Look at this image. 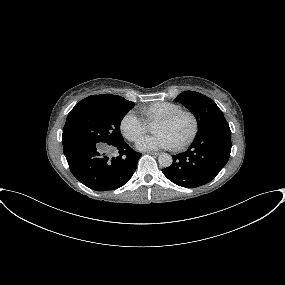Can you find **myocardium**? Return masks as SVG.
Here are the masks:
<instances>
[{
  "mask_svg": "<svg viewBox=\"0 0 285 285\" xmlns=\"http://www.w3.org/2000/svg\"><path fill=\"white\" fill-rule=\"evenodd\" d=\"M180 117H188L190 119L191 130L183 141H181L177 145H174V148L176 150L184 149L185 147L190 145L194 141V139L196 138L198 131H199V121H198L197 116L191 111L180 110V111L174 112L172 114L160 117L156 120V122L171 123Z\"/></svg>",
  "mask_w": 285,
  "mask_h": 285,
  "instance_id": "1",
  "label": "myocardium"
}]
</instances>
